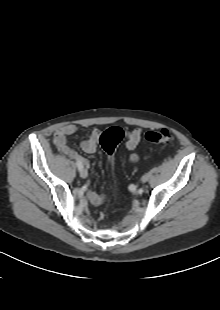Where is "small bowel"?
Returning <instances> with one entry per match:
<instances>
[{
  "label": "small bowel",
  "mask_w": 220,
  "mask_h": 310,
  "mask_svg": "<svg viewBox=\"0 0 220 310\" xmlns=\"http://www.w3.org/2000/svg\"><path fill=\"white\" fill-rule=\"evenodd\" d=\"M77 132V127L73 124H67L65 126L60 127L54 133L53 141L57 148L67 155L68 157L75 159L76 161H80L82 165L86 168L89 167V161L78 154L73 148L68 145V137L74 135ZM126 136V148L131 151L129 156V160L132 163L138 161L139 156L135 152L142 137V131L139 128H135L125 132ZM100 137V131L98 129H93L90 133L89 137L81 142V149L88 154L94 153L97 149L98 141ZM88 200L93 205H100L104 201V196L96 193L89 192Z\"/></svg>",
  "instance_id": "1"
}]
</instances>
